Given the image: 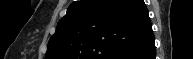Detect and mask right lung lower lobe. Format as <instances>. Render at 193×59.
<instances>
[{
  "label": "right lung lower lobe",
  "mask_w": 193,
  "mask_h": 59,
  "mask_svg": "<svg viewBox=\"0 0 193 59\" xmlns=\"http://www.w3.org/2000/svg\"><path fill=\"white\" fill-rule=\"evenodd\" d=\"M155 55L154 36L151 34L142 44L119 59H155Z\"/></svg>",
  "instance_id": "98d812e1"
}]
</instances>
